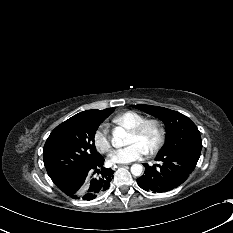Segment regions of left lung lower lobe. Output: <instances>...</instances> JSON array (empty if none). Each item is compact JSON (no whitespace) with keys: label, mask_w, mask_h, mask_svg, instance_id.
<instances>
[{"label":"left lung lower lobe","mask_w":233,"mask_h":233,"mask_svg":"<svg viewBox=\"0 0 233 233\" xmlns=\"http://www.w3.org/2000/svg\"><path fill=\"white\" fill-rule=\"evenodd\" d=\"M198 159L179 152H159L155 159L159 164H144L145 172L137 179V183L143 190L152 193L170 191L185 182Z\"/></svg>","instance_id":"1"}]
</instances>
